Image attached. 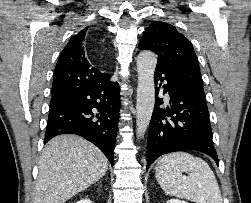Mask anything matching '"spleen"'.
Listing matches in <instances>:
<instances>
[{
	"label": "spleen",
	"instance_id": "obj_1",
	"mask_svg": "<svg viewBox=\"0 0 251 203\" xmlns=\"http://www.w3.org/2000/svg\"><path fill=\"white\" fill-rule=\"evenodd\" d=\"M188 174L187 176L182 173ZM155 177L171 196L196 203H222L221 191L207 162L186 152L167 154L159 159Z\"/></svg>",
	"mask_w": 251,
	"mask_h": 203
}]
</instances>
